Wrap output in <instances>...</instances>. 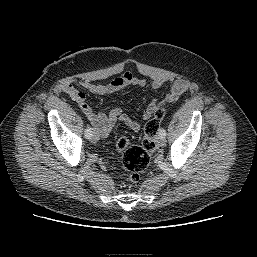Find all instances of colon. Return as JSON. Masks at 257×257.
<instances>
[{
    "mask_svg": "<svg viewBox=\"0 0 257 257\" xmlns=\"http://www.w3.org/2000/svg\"><path fill=\"white\" fill-rule=\"evenodd\" d=\"M164 115V110L160 108L145 124L141 146L132 144L126 136L118 139L116 148L122 153V166L126 180L132 183L138 182L141 174L147 169L152 155L156 153L155 135Z\"/></svg>",
    "mask_w": 257,
    "mask_h": 257,
    "instance_id": "5ec220e1",
    "label": "colon"
}]
</instances>
